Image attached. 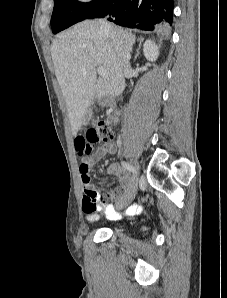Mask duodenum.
<instances>
[{"label":"duodenum","instance_id":"1","mask_svg":"<svg viewBox=\"0 0 227 298\" xmlns=\"http://www.w3.org/2000/svg\"><path fill=\"white\" fill-rule=\"evenodd\" d=\"M117 121V116H116V114H112L111 116H110V122L111 123H115Z\"/></svg>","mask_w":227,"mask_h":298}]
</instances>
